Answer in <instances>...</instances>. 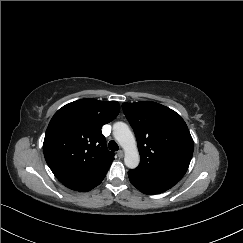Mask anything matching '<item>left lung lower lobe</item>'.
<instances>
[{"mask_svg":"<svg viewBox=\"0 0 243 243\" xmlns=\"http://www.w3.org/2000/svg\"><path fill=\"white\" fill-rule=\"evenodd\" d=\"M185 171L168 170L149 175H137L128 172L129 179L133 186L145 194H159L177 184L184 176Z\"/></svg>","mask_w":243,"mask_h":243,"instance_id":"1","label":"left lung lower lobe"}]
</instances>
